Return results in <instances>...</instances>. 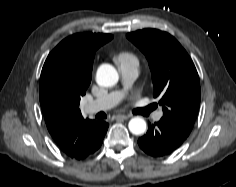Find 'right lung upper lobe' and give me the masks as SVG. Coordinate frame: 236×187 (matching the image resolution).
Returning a JSON list of instances; mask_svg holds the SVG:
<instances>
[{"instance_id": "1", "label": "right lung upper lobe", "mask_w": 236, "mask_h": 187, "mask_svg": "<svg viewBox=\"0 0 236 187\" xmlns=\"http://www.w3.org/2000/svg\"><path fill=\"white\" fill-rule=\"evenodd\" d=\"M110 34L78 33L61 41L48 55L40 77V104L49 133L71 158L82 159L99 121L84 119L80 97L91 82L96 50Z\"/></svg>"}]
</instances>
